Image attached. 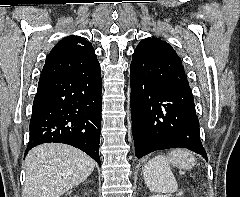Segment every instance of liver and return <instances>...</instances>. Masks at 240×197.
<instances>
[{
	"label": "liver",
	"instance_id": "liver-1",
	"mask_svg": "<svg viewBox=\"0 0 240 197\" xmlns=\"http://www.w3.org/2000/svg\"><path fill=\"white\" fill-rule=\"evenodd\" d=\"M95 161L66 144L45 143L26 156V180L22 197H60L82 183L94 170Z\"/></svg>",
	"mask_w": 240,
	"mask_h": 197
}]
</instances>
